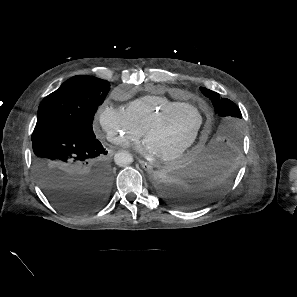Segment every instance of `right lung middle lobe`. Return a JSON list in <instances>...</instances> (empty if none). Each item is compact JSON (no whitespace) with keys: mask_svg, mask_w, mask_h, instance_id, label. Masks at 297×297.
I'll return each mask as SVG.
<instances>
[{"mask_svg":"<svg viewBox=\"0 0 297 297\" xmlns=\"http://www.w3.org/2000/svg\"><path fill=\"white\" fill-rule=\"evenodd\" d=\"M110 90V84L93 76H74L40 104L32 137L48 131L72 129L95 136L94 114Z\"/></svg>","mask_w":297,"mask_h":297,"instance_id":"1","label":"right lung middle lobe"}]
</instances>
